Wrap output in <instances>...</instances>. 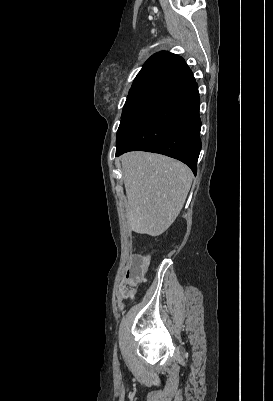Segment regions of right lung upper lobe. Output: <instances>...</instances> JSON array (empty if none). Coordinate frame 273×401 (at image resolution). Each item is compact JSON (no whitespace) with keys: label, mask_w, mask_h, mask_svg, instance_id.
<instances>
[{"label":"right lung upper lobe","mask_w":273,"mask_h":401,"mask_svg":"<svg viewBox=\"0 0 273 401\" xmlns=\"http://www.w3.org/2000/svg\"><path fill=\"white\" fill-rule=\"evenodd\" d=\"M194 81L183 58L161 51L152 55L143 65L128 96L157 94L170 97Z\"/></svg>","instance_id":"1"}]
</instances>
